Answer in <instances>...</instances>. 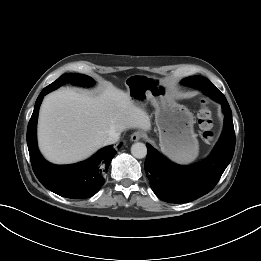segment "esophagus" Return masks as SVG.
Masks as SVG:
<instances>
[{
    "label": "esophagus",
    "mask_w": 261,
    "mask_h": 261,
    "mask_svg": "<svg viewBox=\"0 0 261 261\" xmlns=\"http://www.w3.org/2000/svg\"><path fill=\"white\" fill-rule=\"evenodd\" d=\"M143 138V133L140 131H136L131 135V141L137 142Z\"/></svg>",
    "instance_id": "34e87169"
}]
</instances>
